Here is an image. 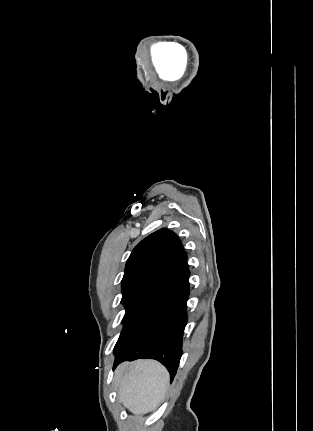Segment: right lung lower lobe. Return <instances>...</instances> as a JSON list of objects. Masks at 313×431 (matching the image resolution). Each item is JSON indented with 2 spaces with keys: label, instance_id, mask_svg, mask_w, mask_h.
<instances>
[{
  "label": "right lung lower lobe",
  "instance_id": "right-lung-lower-lobe-1",
  "mask_svg": "<svg viewBox=\"0 0 313 431\" xmlns=\"http://www.w3.org/2000/svg\"><path fill=\"white\" fill-rule=\"evenodd\" d=\"M189 270L185 263L157 288L124 327L115 345V368L125 360L155 359L173 380L182 355V337L187 323Z\"/></svg>",
  "mask_w": 313,
  "mask_h": 431
}]
</instances>
